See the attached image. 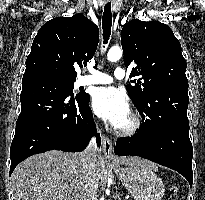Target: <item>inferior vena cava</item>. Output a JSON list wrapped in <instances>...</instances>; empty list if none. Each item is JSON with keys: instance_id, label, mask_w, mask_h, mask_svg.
I'll list each match as a JSON object with an SVG mask.
<instances>
[{"instance_id": "obj_1", "label": "inferior vena cava", "mask_w": 205, "mask_h": 200, "mask_svg": "<svg viewBox=\"0 0 205 200\" xmlns=\"http://www.w3.org/2000/svg\"><path fill=\"white\" fill-rule=\"evenodd\" d=\"M96 157V140L92 138L87 148L81 153L82 200H98V179L95 175Z\"/></svg>"}]
</instances>
